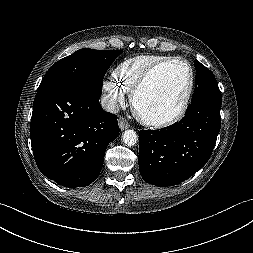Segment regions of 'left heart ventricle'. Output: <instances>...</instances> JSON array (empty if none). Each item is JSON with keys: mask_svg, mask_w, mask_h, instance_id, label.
Instances as JSON below:
<instances>
[{"mask_svg": "<svg viewBox=\"0 0 253 253\" xmlns=\"http://www.w3.org/2000/svg\"><path fill=\"white\" fill-rule=\"evenodd\" d=\"M189 85V72L182 63L159 69L141 91L137 100L140 115L162 119L173 115L180 107Z\"/></svg>", "mask_w": 253, "mask_h": 253, "instance_id": "b2bd125f", "label": "left heart ventricle"}]
</instances>
